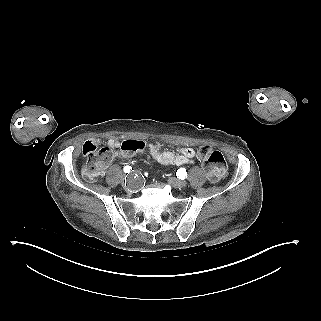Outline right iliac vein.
Instances as JSON below:
<instances>
[{"instance_id": "1", "label": "right iliac vein", "mask_w": 321, "mask_h": 321, "mask_svg": "<svg viewBox=\"0 0 321 321\" xmlns=\"http://www.w3.org/2000/svg\"><path fill=\"white\" fill-rule=\"evenodd\" d=\"M120 182L122 185L124 184V176H121Z\"/></svg>"}]
</instances>
